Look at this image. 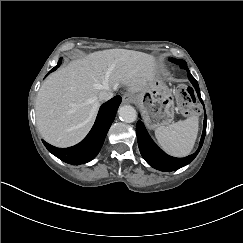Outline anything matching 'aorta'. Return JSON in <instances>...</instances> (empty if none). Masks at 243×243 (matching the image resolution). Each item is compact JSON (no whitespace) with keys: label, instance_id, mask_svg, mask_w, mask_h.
<instances>
[{"label":"aorta","instance_id":"obj_1","mask_svg":"<svg viewBox=\"0 0 243 243\" xmlns=\"http://www.w3.org/2000/svg\"><path fill=\"white\" fill-rule=\"evenodd\" d=\"M118 115L121 117L122 121L125 123H134L135 121H137L138 118V114L135 108H133L132 106H128V105H121L118 108Z\"/></svg>","mask_w":243,"mask_h":243}]
</instances>
